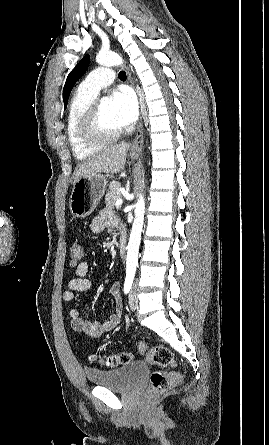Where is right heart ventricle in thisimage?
<instances>
[{
  "label": "right heart ventricle",
  "instance_id": "e07e8e85",
  "mask_svg": "<svg viewBox=\"0 0 269 445\" xmlns=\"http://www.w3.org/2000/svg\"><path fill=\"white\" fill-rule=\"evenodd\" d=\"M96 96L85 93L80 88L76 91L69 104L67 113V138L74 157L83 161L95 155L103 145L86 144L78 134V123L88 106Z\"/></svg>",
  "mask_w": 269,
  "mask_h": 445
}]
</instances>
